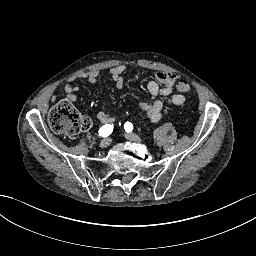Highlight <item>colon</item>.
Here are the masks:
<instances>
[{
	"label": "colon",
	"mask_w": 256,
	"mask_h": 256,
	"mask_svg": "<svg viewBox=\"0 0 256 256\" xmlns=\"http://www.w3.org/2000/svg\"><path fill=\"white\" fill-rule=\"evenodd\" d=\"M179 89L185 93L191 91L189 83L185 80L179 82ZM48 122L50 128L67 137H73L81 131L91 127L90 118L81 115L68 100L59 102L50 112Z\"/></svg>",
	"instance_id": "5ec220e1"
}]
</instances>
